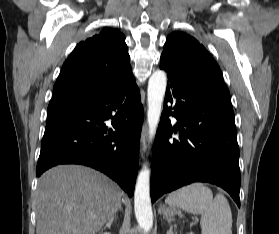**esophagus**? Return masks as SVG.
<instances>
[{
    "label": "esophagus",
    "instance_id": "34e87169",
    "mask_svg": "<svg viewBox=\"0 0 279 234\" xmlns=\"http://www.w3.org/2000/svg\"><path fill=\"white\" fill-rule=\"evenodd\" d=\"M147 150V124L144 123L141 133V156L144 158Z\"/></svg>",
    "mask_w": 279,
    "mask_h": 234
}]
</instances>
